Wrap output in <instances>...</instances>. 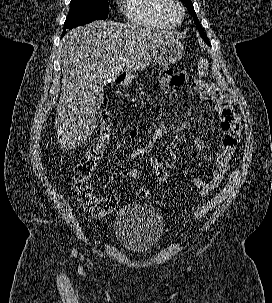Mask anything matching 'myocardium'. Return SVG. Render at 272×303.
<instances>
[{"mask_svg": "<svg viewBox=\"0 0 272 303\" xmlns=\"http://www.w3.org/2000/svg\"><path fill=\"white\" fill-rule=\"evenodd\" d=\"M169 4H174L175 6L178 7L180 11V19L177 23H171L166 17L165 10ZM158 16L167 27L175 28L181 25L182 22L184 21L185 9L179 0H160V4L158 7Z\"/></svg>", "mask_w": 272, "mask_h": 303, "instance_id": "f54148a6", "label": "myocardium"}]
</instances>
